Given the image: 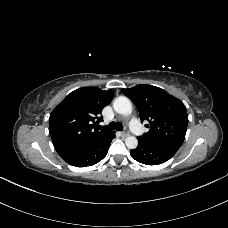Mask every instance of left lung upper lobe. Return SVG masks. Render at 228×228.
<instances>
[{
  "instance_id": "1",
  "label": "left lung upper lobe",
  "mask_w": 228,
  "mask_h": 228,
  "mask_svg": "<svg viewBox=\"0 0 228 228\" xmlns=\"http://www.w3.org/2000/svg\"><path fill=\"white\" fill-rule=\"evenodd\" d=\"M122 92L137 107L141 122H149L146 125L149 131L138 137L139 140L180 148L188 125L186 107L181 100L152 85H137Z\"/></svg>"
}]
</instances>
